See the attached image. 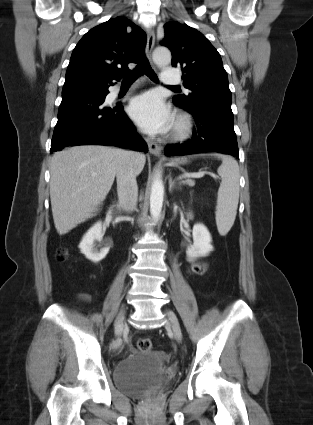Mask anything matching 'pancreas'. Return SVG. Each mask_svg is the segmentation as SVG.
Masks as SVG:
<instances>
[{
  "label": "pancreas",
  "mask_w": 313,
  "mask_h": 425,
  "mask_svg": "<svg viewBox=\"0 0 313 425\" xmlns=\"http://www.w3.org/2000/svg\"><path fill=\"white\" fill-rule=\"evenodd\" d=\"M182 183H183V184H186V185H188V186H190V187H193V186L195 185V181H193V180H189V179H187V180H185V181H182Z\"/></svg>",
  "instance_id": "pancreas-1"
}]
</instances>
